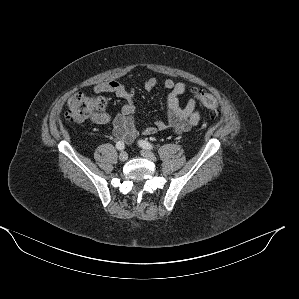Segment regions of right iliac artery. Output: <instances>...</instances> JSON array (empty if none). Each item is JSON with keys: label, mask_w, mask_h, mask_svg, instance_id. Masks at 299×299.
<instances>
[{"label": "right iliac artery", "mask_w": 299, "mask_h": 299, "mask_svg": "<svg viewBox=\"0 0 299 299\" xmlns=\"http://www.w3.org/2000/svg\"><path fill=\"white\" fill-rule=\"evenodd\" d=\"M116 148H117L118 150H123V149L125 148L124 142H122V141H118V142L116 143Z\"/></svg>", "instance_id": "82829eb1"}]
</instances>
